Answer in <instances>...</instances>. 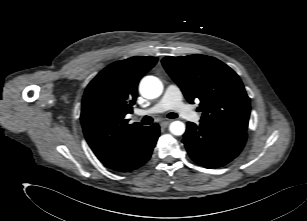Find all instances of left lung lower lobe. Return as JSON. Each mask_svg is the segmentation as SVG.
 Returning <instances> with one entry per match:
<instances>
[{
  "mask_svg": "<svg viewBox=\"0 0 307 221\" xmlns=\"http://www.w3.org/2000/svg\"><path fill=\"white\" fill-rule=\"evenodd\" d=\"M246 131L235 128L188 122L182 142L197 164L218 168L232 161L243 149Z\"/></svg>",
  "mask_w": 307,
  "mask_h": 221,
  "instance_id": "1",
  "label": "left lung lower lobe"
}]
</instances>
